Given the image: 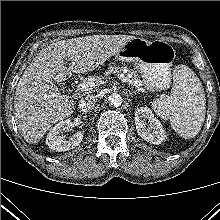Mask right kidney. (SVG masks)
Masks as SVG:
<instances>
[{"label":"right kidney","mask_w":220,"mask_h":220,"mask_svg":"<svg viewBox=\"0 0 220 220\" xmlns=\"http://www.w3.org/2000/svg\"><path fill=\"white\" fill-rule=\"evenodd\" d=\"M71 128L72 122L69 119L56 124L47 135L46 145L57 152H64L78 146L82 142L84 131H78L70 138L62 135Z\"/></svg>","instance_id":"right-kidney-1"}]
</instances>
